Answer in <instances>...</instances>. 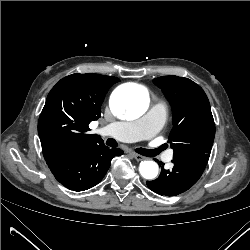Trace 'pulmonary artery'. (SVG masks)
<instances>
[{"label": "pulmonary artery", "mask_w": 250, "mask_h": 250, "mask_svg": "<svg viewBox=\"0 0 250 250\" xmlns=\"http://www.w3.org/2000/svg\"><path fill=\"white\" fill-rule=\"evenodd\" d=\"M165 119V106L162 103H157L141 120L137 122H114L107 126V131L112 136L128 142L144 140L155 134L163 126ZM172 158L173 151H168L165 160L171 161Z\"/></svg>", "instance_id": "e3ab8cb5"}]
</instances>
